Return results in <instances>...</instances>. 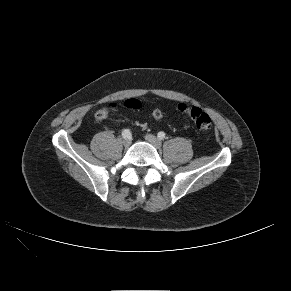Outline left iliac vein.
Masks as SVG:
<instances>
[{"label": "left iliac vein", "mask_w": 291, "mask_h": 291, "mask_svg": "<svg viewBox=\"0 0 291 291\" xmlns=\"http://www.w3.org/2000/svg\"><path fill=\"white\" fill-rule=\"evenodd\" d=\"M145 139L149 142V143H151L155 148H157V149H160L161 148V141L158 139V138H156L154 135H152V134H147L146 136H145Z\"/></svg>", "instance_id": "left-iliac-vein-1"}]
</instances>
